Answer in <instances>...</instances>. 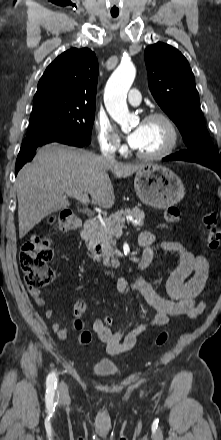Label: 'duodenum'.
Wrapping results in <instances>:
<instances>
[{
	"label": "duodenum",
	"mask_w": 221,
	"mask_h": 440,
	"mask_svg": "<svg viewBox=\"0 0 221 440\" xmlns=\"http://www.w3.org/2000/svg\"><path fill=\"white\" fill-rule=\"evenodd\" d=\"M96 224H97V219L96 218H90L88 219L82 230H81V237L83 239H87L95 230L96 228ZM150 264L149 260H142L139 264L138 267L139 268H145Z\"/></svg>",
	"instance_id": "410a0bca"
}]
</instances>
